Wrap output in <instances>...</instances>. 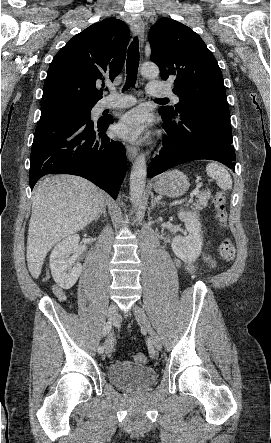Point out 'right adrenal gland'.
<instances>
[{
    "label": "right adrenal gland",
    "mask_w": 271,
    "mask_h": 443,
    "mask_svg": "<svg viewBox=\"0 0 271 443\" xmlns=\"http://www.w3.org/2000/svg\"><path fill=\"white\" fill-rule=\"evenodd\" d=\"M102 214H103V218H107V214H106V204H104V206H103V208H102V210H101L99 216H96V218H95V222H97V220H99V218H101Z\"/></svg>",
    "instance_id": "1"
}]
</instances>
